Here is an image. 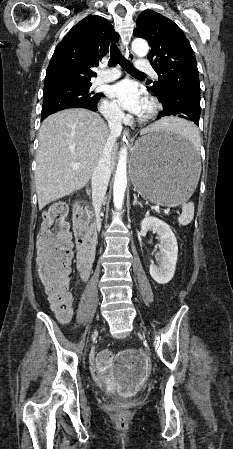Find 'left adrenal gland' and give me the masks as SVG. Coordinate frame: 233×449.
Instances as JSON below:
<instances>
[{
    "label": "left adrenal gland",
    "instance_id": "obj_1",
    "mask_svg": "<svg viewBox=\"0 0 233 449\" xmlns=\"http://www.w3.org/2000/svg\"><path fill=\"white\" fill-rule=\"evenodd\" d=\"M134 196L133 206L139 205L141 208L143 207L142 203L138 201L136 194Z\"/></svg>",
    "mask_w": 233,
    "mask_h": 449
}]
</instances>
